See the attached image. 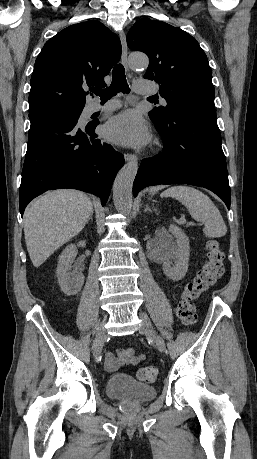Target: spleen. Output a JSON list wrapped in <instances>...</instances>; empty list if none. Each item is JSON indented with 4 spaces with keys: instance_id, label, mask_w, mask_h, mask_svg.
<instances>
[{
    "instance_id": "1",
    "label": "spleen",
    "mask_w": 257,
    "mask_h": 459,
    "mask_svg": "<svg viewBox=\"0 0 257 459\" xmlns=\"http://www.w3.org/2000/svg\"><path fill=\"white\" fill-rule=\"evenodd\" d=\"M162 196L172 197L181 202L193 219L204 224L205 236L219 238L227 233L220 211L203 192L190 186H173L165 190Z\"/></svg>"
}]
</instances>
